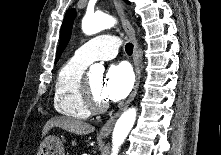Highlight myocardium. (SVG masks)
Listing matches in <instances>:
<instances>
[{
	"label": "myocardium",
	"mask_w": 221,
	"mask_h": 155,
	"mask_svg": "<svg viewBox=\"0 0 221 155\" xmlns=\"http://www.w3.org/2000/svg\"><path fill=\"white\" fill-rule=\"evenodd\" d=\"M81 96L84 105L91 113H101L108 108L106 101H99L95 97L86 78H83L81 82Z\"/></svg>",
	"instance_id": "obj_1"
}]
</instances>
